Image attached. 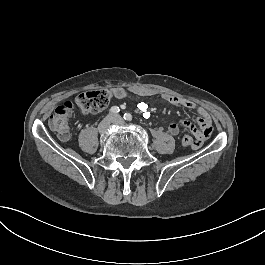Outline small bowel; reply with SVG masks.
<instances>
[{
    "mask_svg": "<svg viewBox=\"0 0 265 265\" xmlns=\"http://www.w3.org/2000/svg\"><path fill=\"white\" fill-rule=\"evenodd\" d=\"M110 92L112 97L128 100L153 97L157 94L154 89L143 86H130L127 88L113 87L110 89ZM161 98L171 106L181 107L196 113V123L190 121L171 122L168 125V132L172 136H177L181 129L189 130L197 140L193 145L194 150H201V143L208 139L212 131V122L208 111L192 100L176 95L162 94ZM140 104H143V102L141 101Z\"/></svg>",
    "mask_w": 265,
    "mask_h": 265,
    "instance_id": "obj_1",
    "label": "small bowel"
}]
</instances>
